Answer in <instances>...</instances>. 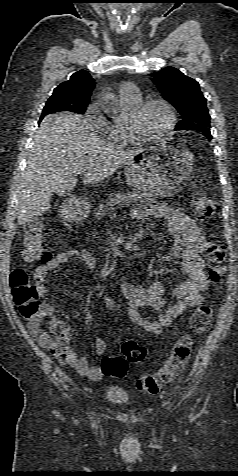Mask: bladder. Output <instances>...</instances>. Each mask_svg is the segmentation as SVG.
Instances as JSON below:
<instances>
[{
    "instance_id": "31cf9c89",
    "label": "bladder",
    "mask_w": 238,
    "mask_h": 476,
    "mask_svg": "<svg viewBox=\"0 0 238 476\" xmlns=\"http://www.w3.org/2000/svg\"><path fill=\"white\" fill-rule=\"evenodd\" d=\"M105 397L114 404H123L128 401V394L119 386H108L105 390Z\"/></svg>"
}]
</instances>
